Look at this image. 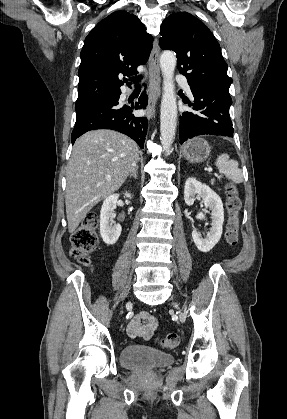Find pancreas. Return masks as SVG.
Wrapping results in <instances>:
<instances>
[{
	"instance_id": "1",
	"label": "pancreas",
	"mask_w": 287,
	"mask_h": 419,
	"mask_svg": "<svg viewBox=\"0 0 287 419\" xmlns=\"http://www.w3.org/2000/svg\"><path fill=\"white\" fill-rule=\"evenodd\" d=\"M211 184L213 185V184H214V182H213V181H211Z\"/></svg>"
}]
</instances>
